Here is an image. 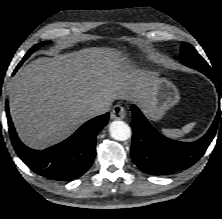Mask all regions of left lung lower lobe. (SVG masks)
<instances>
[{
	"label": "left lung lower lobe",
	"instance_id": "1",
	"mask_svg": "<svg viewBox=\"0 0 222 219\" xmlns=\"http://www.w3.org/2000/svg\"><path fill=\"white\" fill-rule=\"evenodd\" d=\"M191 68L198 69L216 84L211 68ZM217 90L220 96L222 88L217 86ZM131 111L133 114L131 123L133 129L132 161L141 171L150 175H169L192 166L202 157L214 138L218 127L222 126L219 109L208 132L195 142L185 143L161 135L150 125L135 105H132Z\"/></svg>",
	"mask_w": 222,
	"mask_h": 219
}]
</instances>
